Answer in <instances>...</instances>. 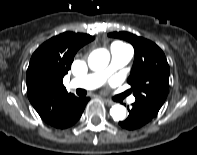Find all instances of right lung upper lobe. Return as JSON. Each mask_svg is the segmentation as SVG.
Masks as SVG:
<instances>
[{
  "label": "right lung upper lobe",
  "instance_id": "1",
  "mask_svg": "<svg viewBox=\"0 0 197 155\" xmlns=\"http://www.w3.org/2000/svg\"><path fill=\"white\" fill-rule=\"evenodd\" d=\"M94 37L64 32L43 43L32 55L27 69L28 98L40 117L48 124L75 96L68 93L63 77L71 68L76 52Z\"/></svg>",
  "mask_w": 197,
  "mask_h": 155
}]
</instances>
